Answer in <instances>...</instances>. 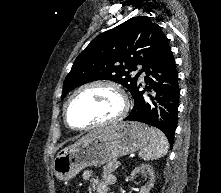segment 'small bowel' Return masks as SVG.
<instances>
[{
	"label": "small bowel",
	"instance_id": "obj_1",
	"mask_svg": "<svg viewBox=\"0 0 221 193\" xmlns=\"http://www.w3.org/2000/svg\"><path fill=\"white\" fill-rule=\"evenodd\" d=\"M82 178L85 181H90L94 178V174L90 170L82 173ZM115 178L112 175H105L104 179L96 185L97 193H109V185L114 184Z\"/></svg>",
	"mask_w": 221,
	"mask_h": 193
}]
</instances>
